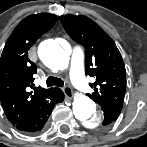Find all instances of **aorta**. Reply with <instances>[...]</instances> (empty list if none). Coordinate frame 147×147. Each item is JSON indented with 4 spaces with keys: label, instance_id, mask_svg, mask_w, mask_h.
Returning <instances> with one entry per match:
<instances>
[{
    "label": "aorta",
    "instance_id": "1",
    "mask_svg": "<svg viewBox=\"0 0 147 147\" xmlns=\"http://www.w3.org/2000/svg\"><path fill=\"white\" fill-rule=\"evenodd\" d=\"M39 58L53 71L64 70L69 63L67 52L54 40L43 41L38 48ZM72 110L76 119L85 126L92 128L97 126L103 119L96 105L88 96L77 94L72 103Z\"/></svg>",
    "mask_w": 147,
    "mask_h": 147
}]
</instances>
